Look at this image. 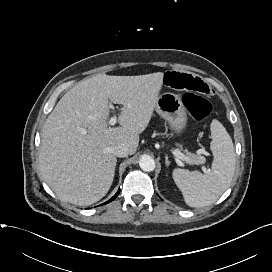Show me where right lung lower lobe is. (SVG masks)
<instances>
[{
  "instance_id": "98d812e1",
  "label": "right lung lower lobe",
  "mask_w": 272,
  "mask_h": 272,
  "mask_svg": "<svg viewBox=\"0 0 272 272\" xmlns=\"http://www.w3.org/2000/svg\"><path fill=\"white\" fill-rule=\"evenodd\" d=\"M119 192H120V189H119L118 192H117V193H116L109 201H107L106 203H108V202L114 200V199L118 196ZM106 203H105V204H106Z\"/></svg>"
}]
</instances>
